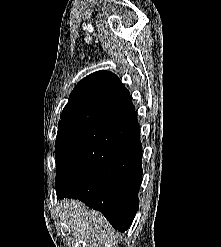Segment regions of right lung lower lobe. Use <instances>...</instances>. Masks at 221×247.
Segmentation results:
<instances>
[{
	"instance_id": "right-lung-lower-lobe-1",
	"label": "right lung lower lobe",
	"mask_w": 221,
	"mask_h": 247,
	"mask_svg": "<svg viewBox=\"0 0 221 247\" xmlns=\"http://www.w3.org/2000/svg\"><path fill=\"white\" fill-rule=\"evenodd\" d=\"M141 161L133 110L83 130L65 147L56 161L57 196L81 200L125 232L139 207Z\"/></svg>"
}]
</instances>
